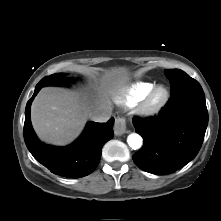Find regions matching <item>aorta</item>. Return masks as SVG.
<instances>
[{
	"instance_id": "1",
	"label": "aorta",
	"mask_w": 221,
	"mask_h": 221,
	"mask_svg": "<svg viewBox=\"0 0 221 221\" xmlns=\"http://www.w3.org/2000/svg\"><path fill=\"white\" fill-rule=\"evenodd\" d=\"M127 142L132 149L136 150L141 148L143 139L139 134L132 133L128 136Z\"/></svg>"
}]
</instances>
